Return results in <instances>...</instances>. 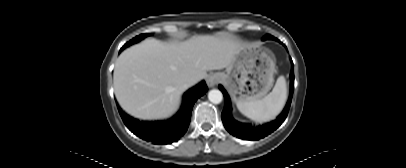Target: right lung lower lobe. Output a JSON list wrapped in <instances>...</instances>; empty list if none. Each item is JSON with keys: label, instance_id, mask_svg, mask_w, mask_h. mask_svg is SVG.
I'll return each instance as SVG.
<instances>
[{"label": "right lung lower lobe", "instance_id": "98d812e1", "mask_svg": "<svg viewBox=\"0 0 406 168\" xmlns=\"http://www.w3.org/2000/svg\"><path fill=\"white\" fill-rule=\"evenodd\" d=\"M124 48L122 47L121 50ZM207 92L204 81L187 90L179 111L171 118L162 121H139L118 108L121 118L128 129L136 136L154 144H170L176 142L188 129L193 105L196 100Z\"/></svg>", "mask_w": 406, "mask_h": 168}]
</instances>
